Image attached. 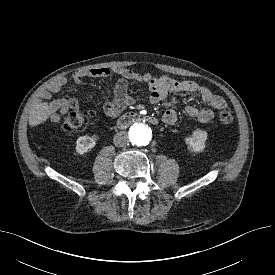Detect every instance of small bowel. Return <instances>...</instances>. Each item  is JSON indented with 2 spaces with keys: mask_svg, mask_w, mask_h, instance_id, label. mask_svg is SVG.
<instances>
[{
  "mask_svg": "<svg viewBox=\"0 0 275 275\" xmlns=\"http://www.w3.org/2000/svg\"><path fill=\"white\" fill-rule=\"evenodd\" d=\"M114 72L122 78L117 82L112 100L104 105V112L108 116H116L124 109L133 104L132 97L127 92L126 80H134L141 83H146L150 90V101L158 103L163 100L169 93H197L201 99L208 104V107L197 108L193 105L186 107V113L197 119L201 123H207L214 117V111L221 110L226 107V101L219 95L214 94L209 88L199 86L196 82L190 80H175L170 76L163 75L160 77H153L149 73H136L126 67L109 68H91L86 70H79L72 75L74 83L81 85L84 77H100L106 78ZM66 84V78L60 77L53 81L49 90L44 93L45 100L51 99L52 93H58ZM61 110H78L79 105L76 98L64 100L57 105ZM45 116L49 118L52 123L58 122L60 114L57 113L51 106L45 109ZM163 122L172 125L177 120V113L173 109L167 110L163 114Z\"/></svg>",
  "mask_w": 275,
  "mask_h": 275,
  "instance_id": "obj_1",
  "label": "small bowel"
}]
</instances>
